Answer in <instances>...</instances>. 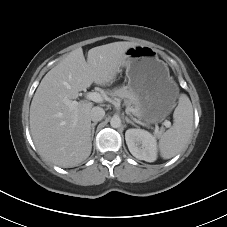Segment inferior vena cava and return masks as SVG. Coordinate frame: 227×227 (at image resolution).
Wrapping results in <instances>:
<instances>
[{
  "label": "inferior vena cava",
  "instance_id": "602c4592",
  "mask_svg": "<svg viewBox=\"0 0 227 227\" xmlns=\"http://www.w3.org/2000/svg\"><path fill=\"white\" fill-rule=\"evenodd\" d=\"M105 111L101 107H93L90 112V118L93 122H98L103 119Z\"/></svg>",
  "mask_w": 227,
  "mask_h": 227
}]
</instances>
